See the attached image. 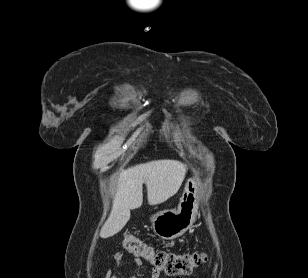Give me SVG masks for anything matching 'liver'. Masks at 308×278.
I'll return each mask as SVG.
<instances>
[{"instance_id":"liver-1","label":"liver","mask_w":308,"mask_h":278,"mask_svg":"<svg viewBox=\"0 0 308 278\" xmlns=\"http://www.w3.org/2000/svg\"><path fill=\"white\" fill-rule=\"evenodd\" d=\"M186 171V165L176 160H155L121 170L111 213L100 231L101 238L121 231L130 219V210L142 205L143 183L149 205H157L178 192Z\"/></svg>"}]
</instances>
